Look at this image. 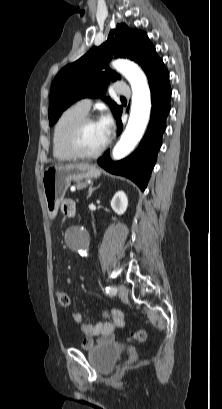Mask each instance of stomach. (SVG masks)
I'll return each mask as SVG.
<instances>
[{"instance_id": "1", "label": "stomach", "mask_w": 222, "mask_h": 409, "mask_svg": "<svg viewBox=\"0 0 222 409\" xmlns=\"http://www.w3.org/2000/svg\"><path fill=\"white\" fill-rule=\"evenodd\" d=\"M99 175L100 171L89 163H74L46 168L42 174V187L49 218L56 217L59 205L71 181L96 178Z\"/></svg>"}]
</instances>
